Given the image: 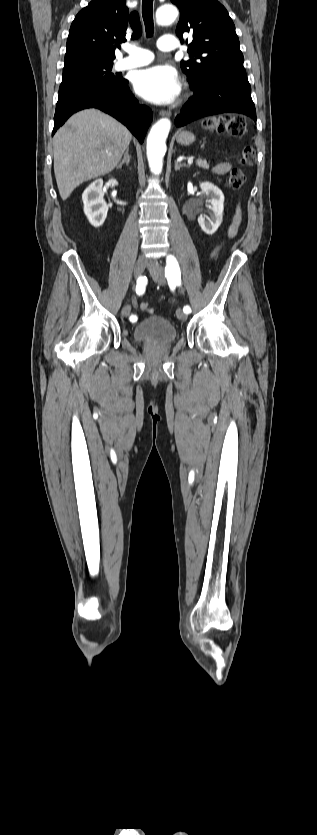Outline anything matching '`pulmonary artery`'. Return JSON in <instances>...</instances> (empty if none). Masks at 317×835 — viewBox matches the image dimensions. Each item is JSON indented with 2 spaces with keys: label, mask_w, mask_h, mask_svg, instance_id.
Returning a JSON list of instances; mask_svg holds the SVG:
<instances>
[{
  "label": "pulmonary artery",
  "mask_w": 317,
  "mask_h": 835,
  "mask_svg": "<svg viewBox=\"0 0 317 835\" xmlns=\"http://www.w3.org/2000/svg\"><path fill=\"white\" fill-rule=\"evenodd\" d=\"M157 47L164 52L174 51L177 49V42L174 36L172 35H164L159 38L157 42ZM125 51L128 55L116 63V69L118 70H126L141 67L144 65L149 64L152 62L154 55L151 51L136 46V45H127L125 47Z\"/></svg>",
  "instance_id": "1"
}]
</instances>
